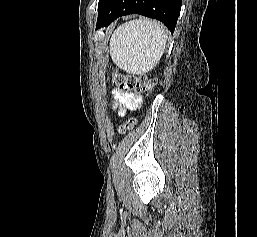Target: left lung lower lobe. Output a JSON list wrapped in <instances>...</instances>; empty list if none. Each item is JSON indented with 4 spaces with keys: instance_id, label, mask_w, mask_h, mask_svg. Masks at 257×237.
Returning <instances> with one entry per match:
<instances>
[{
    "instance_id": "0a47b994",
    "label": "left lung lower lobe",
    "mask_w": 257,
    "mask_h": 237,
    "mask_svg": "<svg viewBox=\"0 0 257 237\" xmlns=\"http://www.w3.org/2000/svg\"><path fill=\"white\" fill-rule=\"evenodd\" d=\"M182 0H108L98 13L97 26H108L120 16L140 14L163 22L174 32Z\"/></svg>"
}]
</instances>
